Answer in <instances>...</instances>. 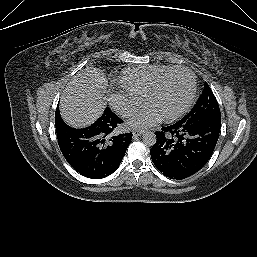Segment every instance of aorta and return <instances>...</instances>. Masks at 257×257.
Here are the masks:
<instances>
[{
	"mask_svg": "<svg viewBox=\"0 0 257 257\" xmlns=\"http://www.w3.org/2000/svg\"><path fill=\"white\" fill-rule=\"evenodd\" d=\"M142 139H143V142L149 146H152L156 143V135L150 131L144 132Z\"/></svg>",
	"mask_w": 257,
	"mask_h": 257,
	"instance_id": "762f6f07",
	"label": "aorta"
}]
</instances>
